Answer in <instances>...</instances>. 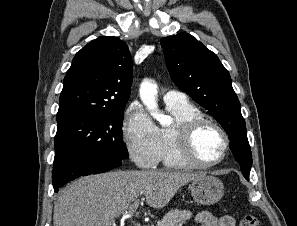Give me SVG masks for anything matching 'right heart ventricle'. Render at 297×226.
<instances>
[{
	"label": "right heart ventricle",
	"instance_id": "1",
	"mask_svg": "<svg viewBox=\"0 0 297 226\" xmlns=\"http://www.w3.org/2000/svg\"><path fill=\"white\" fill-rule=\"evenodd\" d=\"M166 109L174 117V123L159 129V141L161 150L160 161L168 168L185 169L192 167L178 153L176 142L173 136L174 127L191 119L202 117V113L193 104L187 102L166 103Z\"/></svg>",
	"mask_w": 297,
	"mask_h": 226
}]
</instances>
